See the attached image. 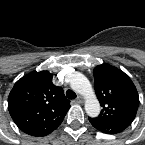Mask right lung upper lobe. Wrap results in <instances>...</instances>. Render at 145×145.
Listing matches in <instances>:
<instances>
[{
  "label": "right lung upper lobe",
  "mask_w": 145,
  "mask_h": 145,
  "mask_svg": "<svg viewBox=\"0 0 145 145\" xmlns=\"http://www.w3.org/2000/svg\"><path fill=\"white\" fill-rule=\"evenodd\" d=\"M48 71H33L18 80L8 97L15 124L28 135L45 136L62 122L70 101L61 87L52 83Z\"/></svg>",
  "instance_id": "right-lung-upper-lobe-1"
}]
</instances>
